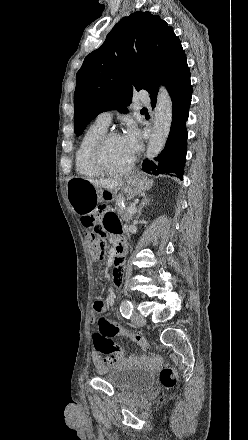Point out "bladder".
Returning <instances> with one entry per match:
<instances>
[{"label":"bladder","instance_id":"bladder-1","mask_svg":"<svg viewBox=\"0 0 248 440\" xmlns=\"http://www.w3.org/2000/svg\"><path fill=\"white\" fill-rule=\"evenodd\" d=\"M102 377L116 389H144L153 383L152 372L144 367L121 365L101 372Z\"/></svg>","mask_w":248,"mask_h":440}]
</instances>
